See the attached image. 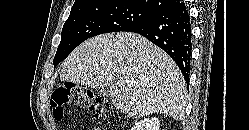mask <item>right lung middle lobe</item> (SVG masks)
<instances>
[{
  "label": "right lung middle lobe",
  "instance_id": "1",
  "mask_svg": "<svg viewBox=\"0 0 249 130\" xmlns=\"http://www.w3.org/2000/svg\"><path fill=\"white\" fill-rule=\"evenodd\" d=\"M157 13L128 2L102 0L71 9L61 35L54 67L86 39L109 32L124 31Z\"/></svg>",
  "mask_w": 249,
  "mask_h": 130
}]
</instances>
